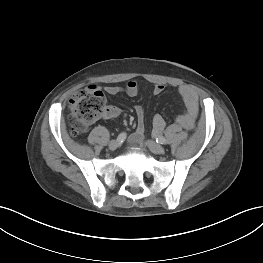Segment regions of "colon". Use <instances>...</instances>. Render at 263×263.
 Wrapping results in <instances>:
<instances>
[{"label":"colon","instance_id":"1","mask_svg":"<svg viewBox=\"0 0 263 263\" xmlns=\"http://www.w3.org/2000/svg\"><path fill=\"white\" fill-rule=\"evenodd\" d=\"M105 104L104 94L96 86L75 93L69 101L73 116V132L80 134L87 131L88 127L104 114Z\"/></svg>","mask_w":263,"mask_h":263}]
</instances>
